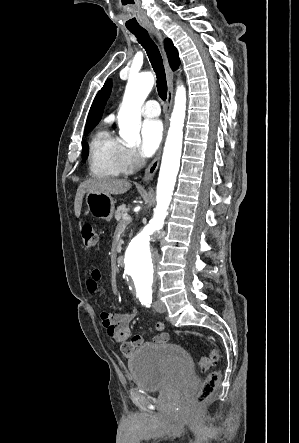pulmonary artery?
<instances>
[{
    "instance_id": "e3ab8cb5",
    "label": "pulmonary artery",
    "mask_w": 299,
    "mask_h": 443,
    "mask_svg": "<svg viewBox=\"0 0 299 443\" xmlns=\"http://www.w3.org/2000/svg\"><path fill=\"white\" fill-rule=\"evenodd\" d=\"M142 114L149 118L158 116L160 114L158 102L155 100L147 101L142 107Z\"/></svg>"
}]
</instances>
